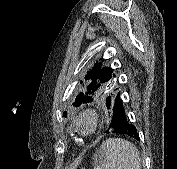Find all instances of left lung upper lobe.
<instances>
[{"mask_svg":"<svg viewBox=\"0 0 177 169\" xmlns=\"http://www.w3.org/2000/svg\"><path fill=\"white\" fill-rule=\"evenodd\" d=\"M115 77L116 75L113 68H102V63L95 64L86 74L85 80L80 81L82 91L77 95L73 105L80 106L81 104L92 102L95 98L103 95L110 89L111 83L114 81ZM107 98L106 106L108 109H112V104L110 105V103L113 101V98L110 96Z\"/></svg>","mask_w":177,"mask_h":169,"instance_id":"1","label":"left lung upper lobe"}]
</instances>
